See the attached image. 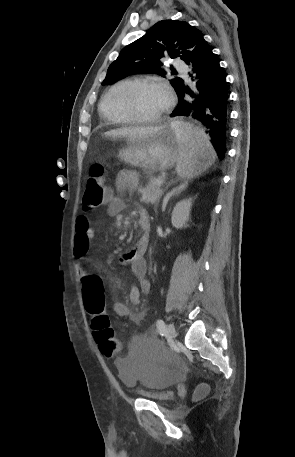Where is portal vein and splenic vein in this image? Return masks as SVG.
<instances>
[{"label":"portal vein and splenic vein","instance_id":"1","mask_svg":"<svg viewBox=\"0 0 295 457\" xmlns=\"http://www.w3.org/2000/svg\"><path fill=\"white\" fill-rule=\"evenodd\" d=\"M156 183H157L158 186H161V185H163L164 180H163V179H160V180H158Z\"/></svg>","mask_w":295,"mask_h":457}]
</instances>
